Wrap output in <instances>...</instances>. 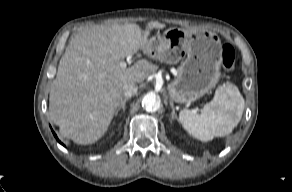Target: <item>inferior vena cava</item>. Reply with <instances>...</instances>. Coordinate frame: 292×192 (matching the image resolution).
<instances>
[{
	"label": "inferior vena cava",
	"instance_id": "1",
	"mask_svg": "<svg viewBox=\"0 0 292 192\" xmlns=\"http://www.w3.org/2000/svg\"><path fill=\"white\" fill-rule=\"evenodd\" d=\"M124 96L129 98L135 95L138 91V86L134 83H126L123 86Z\"/></svg>",
	"mask_w": 292,
	"mask_h": 192
}]
</instances>
